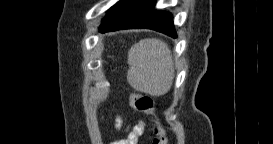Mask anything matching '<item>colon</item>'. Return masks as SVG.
Segmentation results:
<instances>
[{"label": "colon", "instance_id": "5ec220e1", "mask_svg": "<svg viewBox=\"0 0 273 144\" xmlns=\"http://www.w3.org/2000/svg\"><path fill=\"white\" fill-rule=\"evenodd\" d=\"M133 107L140 112L155 115V103L152 98L146 95L135 94L132 96ZM154 137L152 144H166V133L159 120L156 118L154 121Z\"/></svg>", "mask_w": 273, "mask_h": 144}]
</instances>
